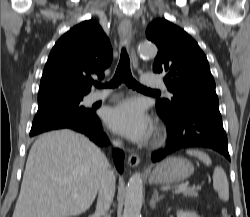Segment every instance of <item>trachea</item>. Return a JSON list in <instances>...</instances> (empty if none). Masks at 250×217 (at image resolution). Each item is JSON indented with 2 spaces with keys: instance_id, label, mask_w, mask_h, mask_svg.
Instances as JSON below:
<instances>
[{
  "instance_id": "trachea-1",
  "label": "trachea",
  "mask_w": 250,
  "mask_h": 217,
  "mask_svg": "<svg viewBox=\"0 0 250 217\" xmlns=\"http://www.w3.org/2000/svg\"><path fill=\"white\" fill-rule=\"evenodd\" d=\"M124 82L129 88L137 89V90H145V91H157L148 89L142 85H140L132 76L131 69H130V59L127 54L125 48H122L120 61L117 66L115 75L113 79L109 83H94L95 87L97 88H115Z\"/></svg>"
}]
</instances>
